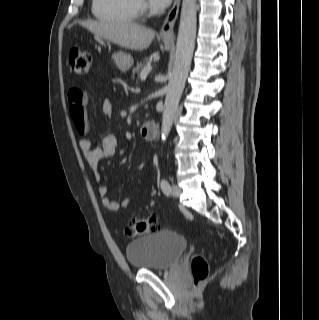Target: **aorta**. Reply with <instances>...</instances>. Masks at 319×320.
I'll list each match as a JSON object with an SVG mask.
<instances>
[{
    "instance_id": "obj_1",
    "label": "aorta",
    "mask_w": 319,
    "mask_h": 320,
    "mask_svg": "<svg viewBox=\"0 0 319 320\" xmlns=\"http://www.w3.org/2000/svg\"><path fill=\"white\" fill-rule=\"evenodd\" d=\"M197 29L196 0H182L173 69L166 89L162 114V140L166 141L186 83L195 47Z\"/></svg>"
}]
</instances>
